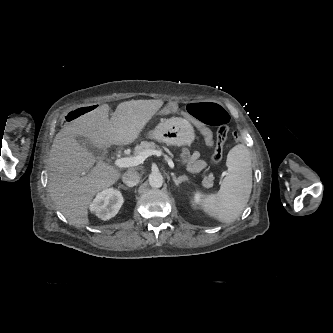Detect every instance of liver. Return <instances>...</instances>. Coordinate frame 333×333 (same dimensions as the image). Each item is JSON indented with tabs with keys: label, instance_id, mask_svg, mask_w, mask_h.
I'll return each mask as SVG.
<instances>
[{
	"label": "liver",
	"instance_id": "liver-1",
	"mask_svg": "<svg viewBox=\"0 0 333 333\" xmlns=\"http://www.w3.org/2000/svg\"><path fill=\"white\" fill-rule=\"evenodd\" d=\"M163 104L162 100L122 102L110 120L109 105L103 104L66 123L56 134L48 162V188L51 199L71 225H88V206L94 195L113 185L121 175L104 162L93 167L95 157L76 141V136L89 138L98 148L131 144Z\"/></svg>",
	"mask_w": 333,
	"mask_h": 333
}]
</instances>
